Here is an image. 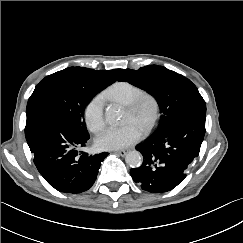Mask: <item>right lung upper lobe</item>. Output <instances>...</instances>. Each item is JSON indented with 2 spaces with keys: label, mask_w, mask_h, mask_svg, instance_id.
<instances>
[{
  "label": "right lung upper lobe",
  "mask_w": 243,
  "mask_h": 243,
  "mask_svg": "<svg viewBox=\"0 0 243 243\" xmlns=\"http://www.w3.org/2000/svg\"><path fill=\"white\" fill-rule=\"evenodd\" d=\"M67 69L69 71L74 72V74L79 80L89 82V83L107 82L110 84L114 83L123 71V69L93 70V69L81 68V67H70Z\"/></svg>",
  "instance_id": "cb5924a9"
}]
</instances>
